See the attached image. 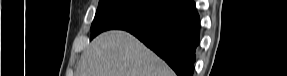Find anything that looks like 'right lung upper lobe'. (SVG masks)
<instances>
[{
  "mask_svg": "<svg viewBox=\"0 0 287 76\" xmlns=\"http://www.w3.org/2000/svg\"><path fill=\"white\" fill-rule=\"evenodd\" d=\"M174 2H177L178 0H173Z\"/></svg>",
  "mask_w": 287,
  "mask_h": 76,
  "instance_id": "1",
  "label": "right lung upper lobe"
}]
</instances>
